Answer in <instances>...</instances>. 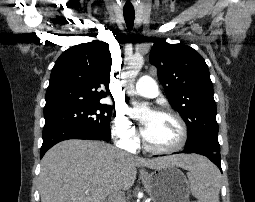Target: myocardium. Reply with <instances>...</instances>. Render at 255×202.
Instances as JSON below:
<instances>
[{"label": "myocardium", "mask_w": 255, "mask_h": 202, "mask_svg": "<svg viewBox=\"0 0 255 202\" xmlns=\"http://www.w3.org/2000/svg\"><path fill=\"white\" fill-rule=\"evenodd\" d=\"M154 113L159 114V115L170 116L173 119H175V121L177 122L179 129H180V139H179L178 143L172 147L159 148V147L152 146L147 141V139L145 138V136L143 134V130H142L141 131V139H142L144 148L147 151L156 153V154H169V153H174V152L181 150L185 146L187 139H188V129H187L184 119L177 112H175L171 109H158V110H155Z\"/></svg>", "instance_id": "f54148a6"}]
</instances>
